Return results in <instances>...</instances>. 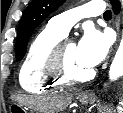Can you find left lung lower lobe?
Returning <instances> with one entry per match:
<instances>
[{"instance_id": "1", "label": "left lung lower lobe", "mask_w": 123, "mask_h": 113, "mask_svg": "<svg viewBox=\"0 0 123 113\" xmlns=\"http://www.w3.org/2000/svg\"><path fill=\"white\" fill-rule=\"evenodd\" d=\"M112 6H113V11L115 14H119L120 12V2L118 0H110Z\"/></svg>"}]
</instances>
